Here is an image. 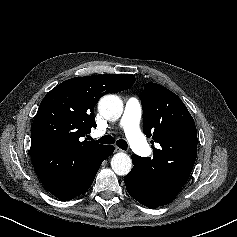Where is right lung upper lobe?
Here are the masks:
<instances>
[{
    "label": "right lung upper lobe",
    "instance_id": "cb5924a9",
    "mask_svg": "<svg viewBox=\"0 0 237 237\" xmlns=\"http://www.w3.org/2000/svg\"><path fill=\"white\" fill-rule=\"evenodd\" d=\"M134 82L130 74L75 77L47 93L31 127L30 149L35 172L47 190L77 185L79 162L105 146L82 141L95 127V104L106 93L129 89Z\"/></svg>",
    "mask_w": 237,
    "mask_h": 237
}]
</instances>
